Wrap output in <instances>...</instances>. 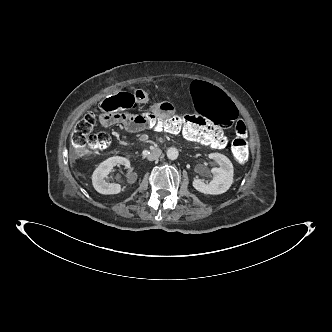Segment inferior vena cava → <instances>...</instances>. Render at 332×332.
<instances>
[{
  "label": "inferior vena cava",
  "instance_id": "1",
  "mask_svg": "<svg viewBox=\"0 0 332 332\" xmlns=\"http://www.w3.org/2000/svg\"><path fill=\"white\" fill-rule=\"evenodd\" d=\"M161 155V150L160 149H157L155 151H152L148 156H147V159L149 161H153V160H156L158 159V157Z\"/></svg>",
  "mask_w": 332,
  "mask_h": 332
}]
</instances>
